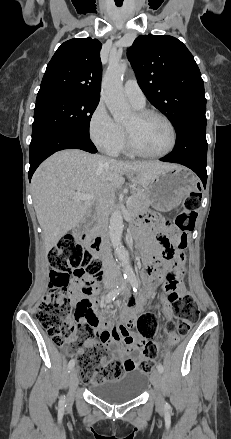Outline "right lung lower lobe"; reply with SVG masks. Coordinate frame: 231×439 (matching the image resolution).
Listing matches in <instances>:
<instances>
[{
	"label": "right lung lower lobe",
	"instance_id": "obj_1",
	"mask_svg": "<svg viewBox=\"0 0 231 439\" xmlns=\"http://www.w3.org/2000/svg\"><path fill=\"white\" fill-rule=\"evenodd\" d=\"M81 149L90 153H96L97 149L90 140L89 135L82 134L73 129H58L41 137L30 144V169L29 180L37 167L47 157L63 149Z\"/></svg>",
	"mask_w": 231,
	"mask_h": 439
}]
</instances>
